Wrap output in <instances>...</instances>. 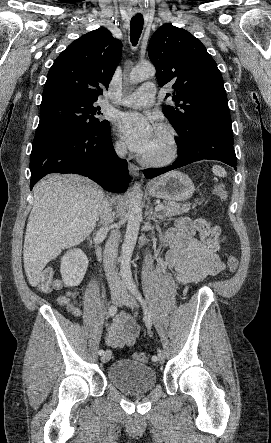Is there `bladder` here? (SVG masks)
Here are the masks:
<instances>
[{
  "mask_svg": "<svg viewBox=\"0 0 271 443\" xmlns=\"http://www.w3.org/2000/svg\"><path fill=\"white\" fill-rule=\"evenodd\" d=\"M110 382L127 394L151 391L157 383L155 370L147 364L131 359H118L107 370Z\"/></svg>",
  "mask_w": 271,
  "mask_h": 443,
  "instance_id": "obj_1",
  "label": "bladder"
}]
</instances>
